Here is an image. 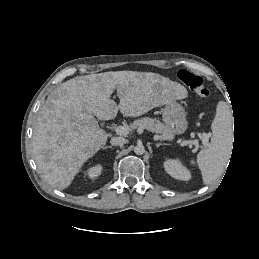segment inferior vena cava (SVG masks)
Wrapping results in <instances>:
<instances>
[{
    "label": "inferior vena cava",
    "mask_w": 259,
    "mask_h": 259,
    "mask_svg": "<svg viewBox=\"0 0 259 259\" xmlns=\"http://www.w3.org/2000/svg\"><path fill=\"white\" fill-rule=\"evenodd\" d=\"M111 145L113 146H121L127 143V140L123 137H113L110 140Z\"/></svg>",
    "instance_id": "obj_1"
}]
</instances>
